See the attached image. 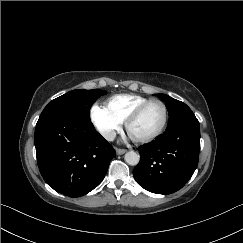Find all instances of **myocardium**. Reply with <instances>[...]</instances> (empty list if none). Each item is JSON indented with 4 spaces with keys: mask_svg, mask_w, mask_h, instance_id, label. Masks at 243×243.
Masks as SVG:
<instances>
[{
    "mask_svg": "<svg viewBox=\"0 0 243 243\" xmlns=\"http://www.w3.org/2000/svg\"><path fill=\"white\" fill-rule=\"evenodd\" d=\"M153 103H159L164 111V116H163V121L161 126L158 128L157 131H155L153 134H151L150 136L146 137V138H142V139H134V142L138 143V144H146L149 143L155 139H157L166 129L168 120H169V109L167 104L161 100V99H150L148 101H146L145 103L141 104L140 106H138L126 119L125 121V127L126 130L129 133V129L132 123H134L136 120L139 119V117L142 115V113L144 112V110L151 104Z\"/></svg>",
    "mask_w": 243,
    "mask_h": 243,
    "instance_id": "f54148a6",
    "label": "myocardium"
}]
</instances>
